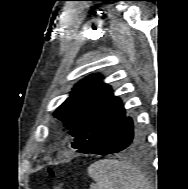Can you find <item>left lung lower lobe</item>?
<instances>
[{"label": "left lung lower lobe", "instance_id": "1", "mask_svg": "<svg viewBox=\"0 0 188 189\" xmlns=\"http://www.w3.org/2000/svg\"><path fill=\"white\" fill-rule=\"evenodd\" d=\"M143 137L134 132L133 121L124 117L110 132L88 153L107 155L135 148Z\"/></svg>", "mask_w": 188, "mask_h": 189}]
</instances>
